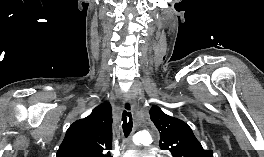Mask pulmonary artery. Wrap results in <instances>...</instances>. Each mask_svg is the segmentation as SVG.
<instances>
[{
    "label": "pulmonary artery",
    "instance_id": "e3ab8cb5",
    "mask_svg": "<svg viewBox=\"0 0 264 157\" xmlns=\"http://www.w3.org/2000/svg\"><path fill=\"white\" fill-rule=\"evenodd\" d=\"M124 157H155L152 152H144L143 154L128 153Z\"/></svg>",
    "mask_w": 264,
    "mask_h": 157
}]
</instances>
